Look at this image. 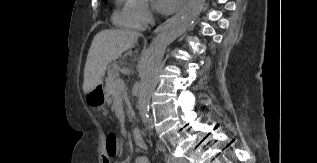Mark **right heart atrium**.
Listing matches in <instances>:
<instances>
[{
	"label": "right heart atrium",
	"mask_w": 317,
	"mask_h": 163,
	"mask_svg": "<svg viewBox=\"0 0 317 163\" xmlns=\"http://www.w3.org/2000/svg\"><path fill=\"white\" fill-rule=\"evenodd\" d=\"M136 17L143 26L152 21L153 13L147 0H138L136 6Z\"/></svg>",
	"instance_id": "1"
}]
</instances>
